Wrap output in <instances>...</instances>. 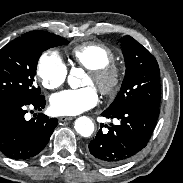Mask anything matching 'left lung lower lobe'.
<instances>
[{
    "instance_id": "obj_1",
    "label": "left lung lower lobe",
    "mask_w": 183,
    "mask_h": 183,
    "mask_svg": "<svg viewBox=\"0 0 183 183\" xmlns=\"http://www.w3.org/2000/svg\"><path fill=\"white\" fill-rule=\"evenodd\" d=\"M102 116L121 122L120 125L111 124L106 134L101 129L98 131L88 146L89 156L100 165L114 166L147 145L159 116V107L133 104L113 112L105 110Z\"/></svg>"
}]
</instances>
